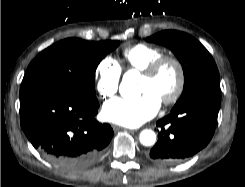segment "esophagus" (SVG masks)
Instances as JSON below:
<instances>
[{
	"mask_svg": "<svg viewBox=\"0 0 245 187\" xmlns=\"http://www.w3.org/2000/svg\"><path fill=\"white\" fill-rule=\"evenodd\" d=\"M113 129H114L115 131H117V130H121V129H125V128L120 127V126H118V125H113Z\"/></svg>",
	"mask_w": 245,
	"mask_h": 187,
	"instance_id": "obj_1",
	"label": "esophagus"
}]
</instances>
